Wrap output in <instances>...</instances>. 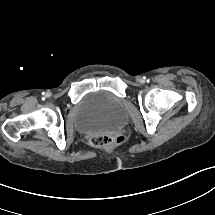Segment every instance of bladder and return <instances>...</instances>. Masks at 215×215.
Listing matches in <instances>:
<instances>
[{
    "instance_id": "obj_1",
    "label": "bladder",
    "mask_w": 215,
    "mask_h": 215,
    "mask_svg": "<svg viewBox=\"0 0 215 215\" xmlns=\"http://www.w3.org/2000/svg\"><path fill=\"white\" fill-rule=\"evenodd\" d=\"M127 121V111L114 97H86L77 106L73 125L84 135H105L119 132Z\"/></svg>"
}]
</instances>
